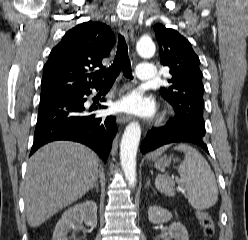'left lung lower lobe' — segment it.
Segmentation results:
<instances>
[{"instance_id": "left-lung-lower-lobe-1", "label": "left lung lower lobe", "mask_w": 248, "mask_h": 240, "mask_svg": "<svg viewBox=\"0 0 248 240\" xmlns=\"http://www.w3.org/2000/svg\"><path fill=\"white\" fill-rule=\"evenodd\" d=\"M205 134L192 124H176L167 122L163 127L152 128L141 144L142 153L154 150L162 145L173 142H184L197 145L208 152L203 141Z\"/></svg>"}]
</instances>
